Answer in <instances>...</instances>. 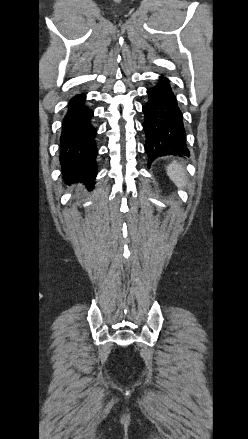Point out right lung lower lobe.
<instances>
[{
    "label": "right lung lower lobe",
    "mask_w": 248,
    "mask_h": 439,
    "mask_svg": "<svg viewBox=\"0 0 248 439\" xmlns=\"http://www.w3.org/2000/svg\"><path fill=\"white\" fill-rule=\"evenodd\" d=\"M84 94L74 96L62 124L60 162L64 178L93 186L97 175L96 129L91 123L93 111L85 105Z\"/></svg>",
    "instance_id": "98d812e1"
}]
</instances>
